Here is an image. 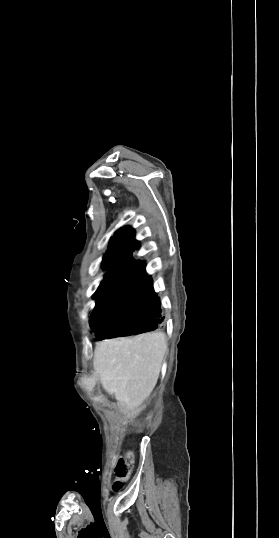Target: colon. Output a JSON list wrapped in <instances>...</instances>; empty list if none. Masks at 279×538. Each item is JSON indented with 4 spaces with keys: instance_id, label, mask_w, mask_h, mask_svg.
<instances>
[{
    "instance_id": "5ec220e1",
    "label": "colon",
    "mask_w": 279,
    "mask_h": 538,
    "mask_svg": "<svg viewBox=\"0 0 279 538\" xmlns=\"http://www.w3.org/2000/svg\"><path fill=\"white\" fill-rule=\"evenodd\" d=\"M132 466V453H126L115 466L116 481L113 484L115 491L121 489L122 483L129 477Z\"/></svg>"
}]
</instances>
